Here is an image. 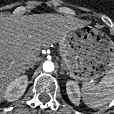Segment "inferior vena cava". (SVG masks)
<instances>
[{"instance_id":"602c4592","label":"inferior vena cava","mask_w":114,"mask_h":114,"mask_svg":"<svg viewBox=\"0 0 114 114\" xmlns=\"http://www.w3.org/2000/svg\"><path fill=\"white\" fill-rule=\"evenodd\" d=\"M26 64H27L28 67H30L32 65H35V62L34 61H28Z\"/></svg>"}]
</instances>
